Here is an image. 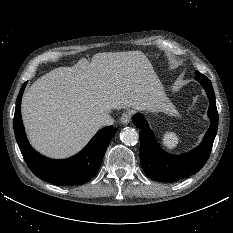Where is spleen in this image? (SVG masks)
<instances>
[{
    "label": "spleen",
    "instance_id": "3e777b00",
    "mask_svg": "<svg viewBox=\"0 0 233 233\" xmlns=\"http://www.w3.org/2000/svg\"><path fill=\"white\" fill-rule=\"evenodd\" d=\"M179 143V138L174 132H165L162 137V144L168 150H173L177 147Z\"/></svg>",
    "mask_w": 233,
    "mask_h": 233
}]
</instances>
